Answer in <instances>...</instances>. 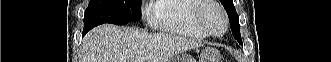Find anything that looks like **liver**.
Returning a JSON list of instances; mask_svg holds the SVG:
<instances>
[{"label":"liver","instance_id":"6515ba94","mask_svg":"<svg viewBox=\"0 0 331 62\" xmlns=\"http://www.w3.org/2000/svg\"><path fill=\"white\" fill-rule=\"evenodd\" d=\"M200 46L177 35L104 24L87 34L82 52L83 62H169L175 55Z\"/></svg>","mask_w":331,"mask_h":62}]
</instances>
